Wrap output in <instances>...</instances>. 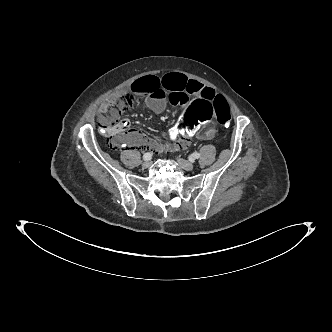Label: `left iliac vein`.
Returning <instances> with one entry per match:
<instances>
[{
  "label": "left iliac vein",
  "mask_w": 332,
  "mask_h": 332,
  "mask_svg": "<svg viewBox=\"0 0 332 332\" xmlns=\"http://www.w3.org/2000/svg\"><path fill=\"white\" fill-rule=\"evenodd\" d=\"M177 162L180 165V167L183 168L186 171H191V170L194 169V165L191 162H189L185 159L178 158Z\"/></svg>",
  "instance_id": "4c4485c4"
}]
</instances>
